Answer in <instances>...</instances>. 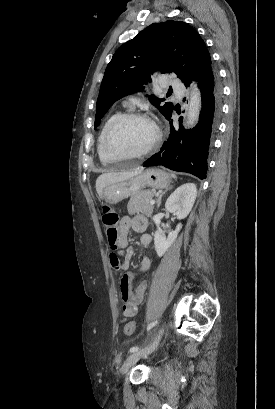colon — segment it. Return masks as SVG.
Here are the masks:
<instances>
[{"label":"colon","mask_w":275,"mask_h":409,"mask_svg":"<svg viewBox=\"0 0 275 409\" xmlns=\"http://www.w3.org/2000/svg\"><path fill=\"white\" fill-rule=\"evenodd\" d=\"M102 223L105 227L107 240L110 248L118 249L120 244V229L118 226V213L110 208L105 209L102 217ZM136 330V323L134 321H129L124 326V334L126 336H131Z\"/></svg>","instance_id":"colon-1"}]
</instances>
